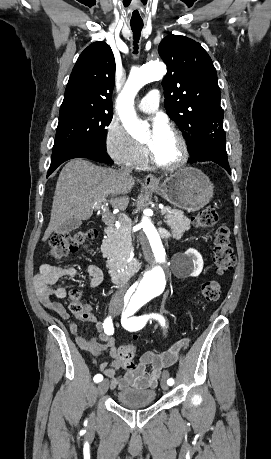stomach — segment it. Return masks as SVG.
<instances>
[{
	"mask_svg": "<svg viewBox=\"0 0 271 459\" xmlns=\"http://www.w3.org/2000/svg\"><path fill=\"white\" fill-rule=\"evenodd\" d=\"M214 186L209 178L197 168H181L160 186H146V190L157 192L172 206L197 212L209 204L213 198Z\"/></svg>",
	"mask_w": 271,
	"mask_h": 459,
	"instance_id": "obj_1",
	"label": "stomach"
}]
</instances>
